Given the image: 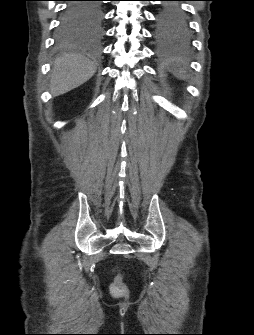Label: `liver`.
I'll return each mask as SVG.
<instances>
[{
	"instance_id": "obj_1",
	"label": "liver",
	"mask_w": 254,
	"mask_h": 335,
	"mask_svg": "<svg viewBox=\"0 0 254 335\" xmlns=\"http://www.w3.org/2000/svg\"><path fill=\"white\" fill-rule=\"evenodd\" d=\"M96 72V65L80 54L57 57L52 69L50 89L62 95L87 82Z\"/></svg>"
}]
</instances>
